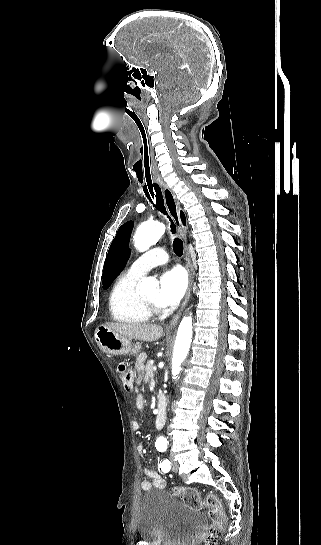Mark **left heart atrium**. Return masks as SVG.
Instances as JSON below:
<instances>
[{
  "instance_id": "obj_1",
  "label": "left heart atrium",
  "mask_w": 321,
  "mask_h": 545,
  "mask_svg": "<svg viewBox=\"0 0 321 545\" xmlns=\"http://www.w3.org/2000/svg\"><path fill=\"white\" fill-rule=\"evenodd\" d=\"M186 287L187 280L180 268H172L163 272L159 277L157 307L165 312L174 309L183 297Z\"/></svg>"
}]
</instances>
